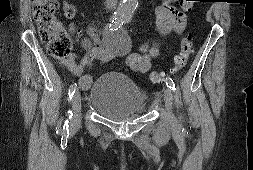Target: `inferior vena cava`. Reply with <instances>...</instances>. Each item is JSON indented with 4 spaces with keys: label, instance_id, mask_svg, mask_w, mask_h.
Masks as SVG:
<instances>
[{
    "label": "inferior vena cava",
    "instance_id": "inferior-vena-cava-1",
    "mask_svg": "<svg viewBox=\"0 0 253 170\" xmlns=\"http://www.w3.org/2000/svg\"><path fill=\"white\" fill-rule=\"evenodd\" d=\"M105 5L109 9L115 8L116 0H105Z\"/></svg>",
    "mask_w": 253,
    "mask_h": 170
}]
</instances>
